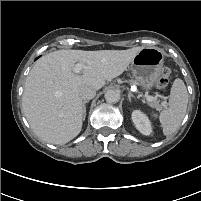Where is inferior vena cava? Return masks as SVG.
<instances>
[{"instance_id":"inferior-vena-cava-1","label":"inferior vena cava","mask_w":201,"mask_h":201,"mask_svg":"<svg viewBox=\"0 0 201 201\" xmlns=\"http://www.w3.org/2000/svg\"><path fill=\"white\" fill-rule=\"evenodd\" d=\"M79 95H80L81 99H83V100H90L95 97L96 90L91 87H87V86L81 87L79 89Z\"/></svg>"}]
</instances>
